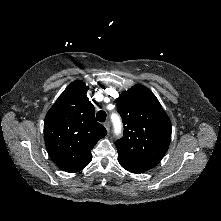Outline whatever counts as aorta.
Returning a JSON list of instances; mask_svg holds the SVG:
<instances>
[{"label": "aorta", "instance_id": "762f6f07", "mask_svg": "<svg viewBox=\"0 0 221 221\" xmlns=\"http://www.w3.org/2000/svg\"><path fill=\"white\" fill-rule=\"evenodd\" d=\"M113 123H114V127H115V132L116 133H120L121 132V121L120 118L118 116H113Z\"/></svg>", "mask_w": 221, "mask_h": 221}]
</instances>
